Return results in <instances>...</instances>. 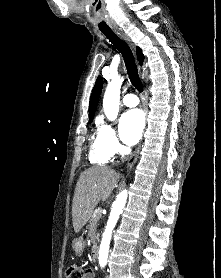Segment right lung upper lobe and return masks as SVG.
I'll use <instances>...</instances> for the list:
<instances>
[{
  "label": "right lung upper lobe",
  "instance_id": "obj_1",
  "mask_svg": "<svg viewBox=\"0 0 221 278\" xmlns=\"http://www.w3.org/2000/svg\"><path fill=\"white\" fill-rule=\"evenodd\" d=\"M137 58H138L139 64L141 65L144 61V55L139 47H137ZM102 86H103L102 79H101V77H98V79L96 80L95 86L92 90L90 103H89V119L91 121L93 120V117L95 114V110L97 107V103L99 100Z\"/></svg>",
  "mask_w": 221,
  "mask_h": 278
}]
</instances>
